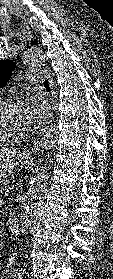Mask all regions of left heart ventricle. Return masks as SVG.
<instances>
[{
	"label": "left heart ventricle",
	"instance_id": "1",
	"mask_svg": "<svg viewBox=\"0 0 113 279\" xmlns=\"http://www.w3.org/2000/svg\"><path fill=\"white\" fill-rule=\"evenodd\" d=\"M0 131L7 136H19L27 132L21 107L0 110Z\"/></svg>",
	"mask_w": 113,
	"mask_h": 279
}]
</instances>
